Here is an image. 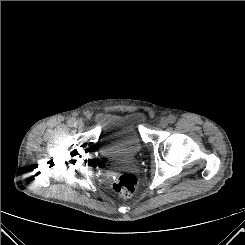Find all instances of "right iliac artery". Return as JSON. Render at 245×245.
Segmentation results:
<instances>
[{
	"instance_id": "82829eb1",
	"label": "right iliac artery",
	"mask_w": 245,
	"mask_h": 245,
	"mask_svg": "<svg viewBox=\"0 0 245 245\" xmlns=\"http://www.w3.org/2000/svg\"><path fill=\"white\" fill-rule=\"evenodd\" d=\"M68 125H69L70 127L75 126V125H76V120H75L74 118L69 119V120H68Z\"/></svg>"
}]
</instances>
